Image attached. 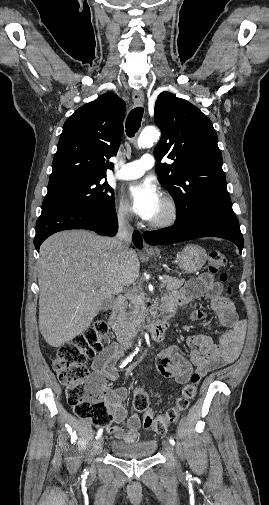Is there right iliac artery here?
<instances>
[{
	"mask_svg": "<svg viewBox=\"0 0 269 505\" xmlns=\"http://www.w3.org/2000/svg\"><path fill=\"white\" fill-rule=\"evenodd\" d=\"M135 353H132L130 354L121 364H120V368L124 367L127 365L128 362H131L133 357H134ZM103 433V429H99L98 432H97V435H96V439H98ZM87 471L85 470V475H87Z\"/></svg>",
	"mask_w": 269,
	"mask_h": 505,
	"instance_id": "obj_1",
	"label": "right iliac artery"
}]
</instances>
